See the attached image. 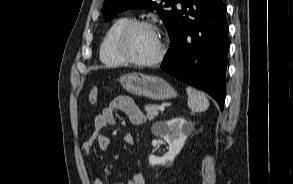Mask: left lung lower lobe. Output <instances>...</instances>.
Segmentation results:
<instances>
[{
  "instance_id": "0a47b994",
  "label": "left lung lower lobe",
  "mask_w": 293,
  "mask_h": 184,
  "mask_svg": "<svg viewBox=\"0 0 293 184\" xmlns=\"http://www.w3.org/2000/svg\"><path fill=\"white\" fill-rule=\"evenodd\" d=\"M169 26L170 47L161 68L212 96L223 109L229 50L222 0H179Z\"/></svg>"
}]
</instances>
